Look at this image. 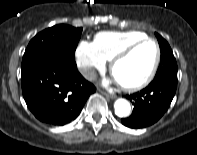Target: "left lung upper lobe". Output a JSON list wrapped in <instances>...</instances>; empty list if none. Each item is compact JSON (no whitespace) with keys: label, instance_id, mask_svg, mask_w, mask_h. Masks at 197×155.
Here are the masks:
<instances>
[{"label":"left lung upper lobe","instance_id":"5c2ea615","mask_svg":"<svg viewBox=\"0 0 197 155\" xmlns=\"http://www.w3.org/2000/svg\"><path fill=\"white\" fill-rule=\"evenodd\" d=\"M155 35L158 39L161 51L160 65L155 77L163 75L177 77V63L168 42L161 35L157 33H155Z\"/></svg>","mask_w":197,"mask_h":155}]
</instances>
